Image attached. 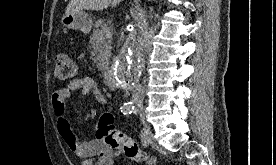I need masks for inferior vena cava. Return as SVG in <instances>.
I'll return each mask as SVG.
<instances>
[{
  "mask_svg": "<svg viewBox=\"0 0 276 165\" xmlns=\"http://www.w3.org/2000/svg\"><path fill=\"white\" fill-rule=\"evenodd\" d=\"M144 99V88L141 84L136 83L132 88V101L142 102Z\"/></svg>",
  "mask_w": 276,
  "mask_h": 165,
  "instance_id": "inferior-vena-cava-1",
  "label": "inferior vena cava"
}]
</instances>
